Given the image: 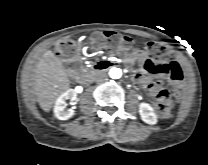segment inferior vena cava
I'll return each instance as SVG.
<instances>
[{"label":"inferior vena cava","instance_id":"602c4592","mask_svg":"<svg viewBox=\"0 0 208 165\" xmlns=\"http://www.w3.org/2000/svg\"><path fill=\"white\" fill-rule=\"evenodd\" d=\"M106 77H107L106 73L100 72L95 76V80L96 81H103L106 79Z\"/></svg>","mask_w":208,"mask_h":165}]
</instances>
